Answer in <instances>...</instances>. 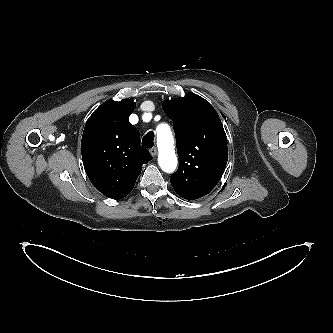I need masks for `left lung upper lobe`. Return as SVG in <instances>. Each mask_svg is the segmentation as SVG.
<instances>
[{"label":"left lung upper lobe","instance_id":"5c2ea615","mask_svg":"<svg viewBox=\"0 0 333 333\" xmlns=\"http://www.w3.org/2000/svg\"><path fill=\"white\" fill-rule=\"evenodd\" d=\"M163 110L174 121L178 170L170 182L187 200L208 194L219 182L228 159L227 137L212 105L196 94L166 100Z\"/></svg>","mask_w":333,"mask_h":333}]
</instances>
